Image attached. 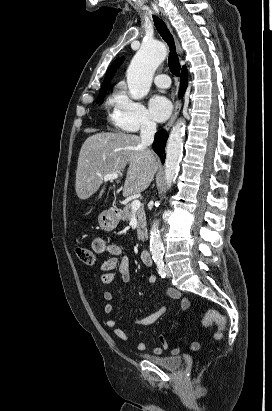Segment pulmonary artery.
I'll return each mask as SVG.
<instances>
[{
	"instance_id": "pulmonary-artery-1",
	"label": "pulmonary artery",
	"mask_w": 272,
	"mask_h": 411,
	"mask_svg": "<svg viewBox=\"0 0 272 411\" xmlns=\"http://www.w3.org/2000/svg\"><path fill=\"white\" fill-rule=\"evenodd\" d=\"M154 83L157 87L166 89L170 86V79L167 74H159L154 78Z\"/></svg>"
}]
</instances>
